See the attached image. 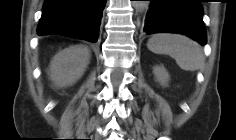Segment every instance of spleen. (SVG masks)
I'll use <instances>...</instances> for the list:
<instances>
[{
    "mask_svg": "<svg viewBox=\"0 0 236 140\" xmlns=\"http://www.w3.org/2000/svg\"><path fill=\"white\" fill-rule=\"evenodd\" d=\"M147 47L153 53L171 56L185 71H196L204 66L205 56L202 48L186 36L156 34L148 40Z\"/></svg>",
    "mask_w": 236,
    "mask_h": 140,
    "instance_id": "spleen-1",
    "label": "spleen"
}]
</instances>
